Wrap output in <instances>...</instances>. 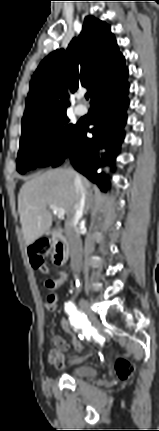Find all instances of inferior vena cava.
Here are the masks:
<instances>
[{
    "instance_id": "inferior-vena-cava-1",
    "label": "inferior vena cava",
    "mask_w": 159,
    "mask_h": 431,
    "mask_svg": "<svg viewBox=\"0 0 159 431\" xmlns=\"http://www.w3.org/2000/svg\"><path fill=\"white\" fill-rule=\"evenodd\" d=\"M75 191L78 195L77 203L74 205V214L69 222L66 223V236L68 238L71 258L73 261L74 269L79 270L78 263L82 257V241L78 232V223L81 219L85 207L86 192L82 184L81 178L78 174L74 177Z\"/></svg>"
}]
</instances>
